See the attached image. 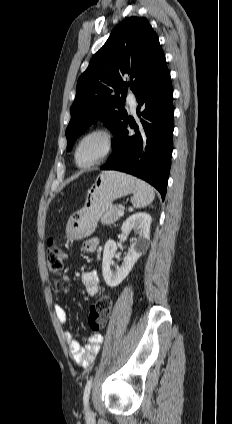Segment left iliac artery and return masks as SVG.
Segmentation results:
<instances>
[{"label": "left iliac artery", "instance_id": "1", "mask_svg": "<svg viewBox=\"0 0 232 424\" xmlns=\"http://www.w3.org/2000/svg\"><path fill=\"white\" fill-rule=\"evenodd\" d=\"M91 386H92V377H90V379L87 381L85 389H84L83 401H84L85 407H87L88 405Z\"/></svg>", "mask_w": 232, "mask_h": 424}]
</instances>
